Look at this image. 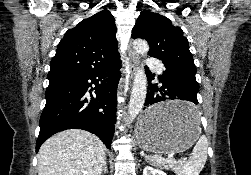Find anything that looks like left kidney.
Listing matches in <instances>:
<instances>
[{
    "instance_id": "obj_1",
    "label": "left kidney",
    "mask_w": 251,
    "mask_h": 175,
    "mask_svg": "<svg viewBox=\"0 0 251 175\" xmlns=\"http://www.w3.org/2000/svg\"><path fill=\"white\" fill-rule=\"evenodd\" d=\"M143 175H166L162 169H154L151 165H146L143 169Z\"/></svg>"
}]
</instances>
